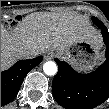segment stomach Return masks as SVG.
<instances>
[{
  "label": "stomach",
  "instance_id": "0dacf381",
  "mask_svg": "<svg viewBox=\"0 0 109 109\" xmlns=\"http://www.w3.org/2000/svg\"><path fill=\"white\" fill-rule=\"evenodd\" d=\"M102 46L90 41L83 40L70 44L63 52L58 55L68 61L79 71L92 70L102 59Z\"/></svg>",
  "mask_w": 109,
  "mask_h": 109
}]
</instances>
